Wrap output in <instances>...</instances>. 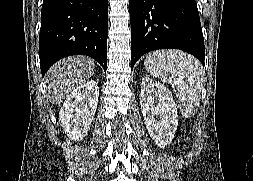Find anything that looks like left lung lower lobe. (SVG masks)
Segmentation results:
<instances>
[{
  "label": "left lung lower lobe",
  "instance_id": "obj_1",
  "mask_svg": "<svg viewBox=\"0 0 253 181\" xmlns=\"http://www.w3.org/2000/svg\"><path fill=\"white\" fill-rule=\"evenodd\" d=\"M131 69L145 53L163 48L186 51L204 65L203 34L195 0H129Z\"/></svg>",
  "mask_w": 253,
  "mask_h": 181
}]
</instances>
